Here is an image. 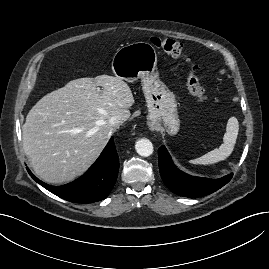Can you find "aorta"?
I'll return each instance as SVG.
<instances>
[{"instance_id":"1","label":"aorta","mask_w":269,"mask_h":269,"mask_svg":"<svg viewBox=\"0 0 269 269\" xmlns=\"http://www.w3.org/2000/svg\"><path fill=\"white\" fill-rule=\"evenodd\" d=\"M136 152L144 157H148L153 153V144L149 139L142 138L135 143Z\"/></svg>"}]
</instances>
